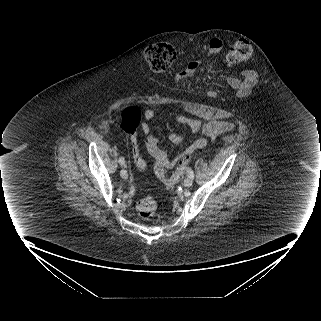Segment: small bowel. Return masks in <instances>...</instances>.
Wrapping results in <instances>:
<instances>
[{"instance_id":"c3829d8e","label":"small bowel","mask_w":321,"mask_h":321,"mask_svg":"<svg viewBox=\"0 0 321 321\" xmlns=\"http://www.w3.org/2000/svg\"><path fill=\"white\" fill-rule=\"evenodd\" d=\"M223 49V42L220 39H211L208 43L207 56L211 57L220 53ZM203 61L195 60L190 61L187 66L179 71L175 80L179 81L191 76L197 69L203 65ZM229 87L238 96H245L252 91L253 85L257 82V76L253 72H244V79L236 78V76L231 75L228 78ZM155 113L153 109H146L144 112L145 121L141 124L140 129L144 134H147L146 147L153 158L155 173L159 175H164L165 171L174 167L176 162L183 157L190 155L195 149L201 147L204 142L198 140L186 147L180 152V154L171 158L169 155L159 146V141L156 136L150 134L149 121L153 119ZM175 121L186 126L192 133H200L205 138L215 141L219 135L227 132L233 128L232 123L225 120H210L207 122H202L200 120L192 119L186 116H176ZM185 139V134L171 133L169 135V141L175 145L180 144ZM134 140V139H133ZM201 141V143H198Z\"/></svg>"}]
</instances>
